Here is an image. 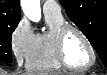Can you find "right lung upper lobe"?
<instances>
[{"label": "right lung upper lobe", "mask_w": 107, "mask_h": 75, "mask_svg": "<svg viewBox=\"0 0 107 75\" xmlns=\"http://www.w3.org/2000/svg\"><path fill=\"white\" fill-rule=\"evenodd\" d=\"M20 14L19 0H0V26L19 23Z\"/></svg>", "instance_id": "right-lung-upper-lobe-1"}]
</instances>
